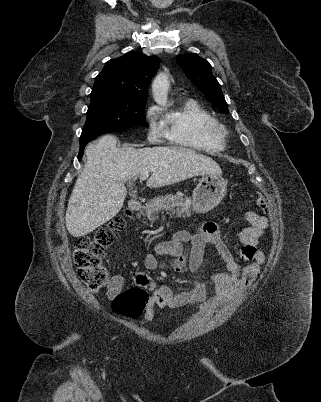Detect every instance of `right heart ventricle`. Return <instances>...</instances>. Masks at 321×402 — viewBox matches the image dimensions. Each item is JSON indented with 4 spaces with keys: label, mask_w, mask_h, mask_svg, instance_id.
<instances>
[{
    "label": "right heart ventricle",
    "mask_w": 321,
    "mask_h": 402,
    "mask_svg": "<svg viewBox=\"0 0 321 402\" xmlns=\"http://www.w3.org/2000/svg\"><path fill=\"white\" fill-rule=\"evenodd\" d=\"M212 114L194 99L185 100L161 122L162 134L173 146L216 153L224 149V140L211 131Z\"/></svg>",
    "instance_id": "1"
}]
</instances>
